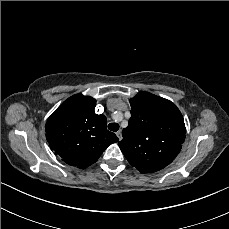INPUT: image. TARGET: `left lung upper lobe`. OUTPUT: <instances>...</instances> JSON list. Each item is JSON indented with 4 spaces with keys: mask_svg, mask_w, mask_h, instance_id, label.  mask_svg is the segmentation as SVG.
Instances as JSON below:
<instances>
[{
    "mask_svg": "<svg viewBox=\"0 0 229 229\" xmlns=\"http://www.w3.org/2000/svg\"><path fill=\"white\" fill-rule=\"evenodd\" d=\"M131 118L118 143L128 162L141 173L165 168L185 140L184 119L171 101L141 92L130 99Z\"/></svg>",
    "mask_w": 229,
    "mask_h": 229,
    "instance_id": "obj_1",
    "label": "left lung upper lobe"
}]
</instances>
